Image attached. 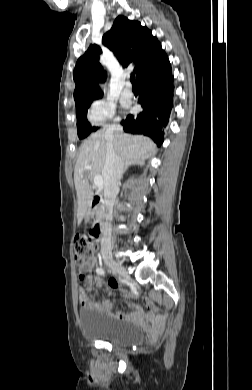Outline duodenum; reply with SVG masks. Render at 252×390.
<instances>
[{
    "label": "duodenum",
    "instance_id": "1",
    "mask_svg": "<svg viewBox=\"0 0 252 390\" xmlns=\"http://www.w3.org/2000/svg\"><path fill=\"white\" fill-rule=\"evenodd\" d=\"M103 202V195L100 193H97L94 195L92 200V210H96L97 207ZM92 210H89V214H92ZM93 229L96 231L97 236L99 237L101 234H104L105 229V221L104 220H98L96 221Z\"/></svg>",
    "mask_w": 252,
    "mask_h": 390
}]
</instances>
